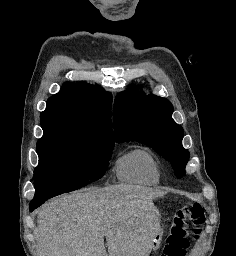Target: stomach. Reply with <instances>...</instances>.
Returning a JSON list of instances; mask_svg holds the SVG:
<instances>
[{"label":"stomach","mask_w":236,"mask_h":256,"mask_svg":"<svg viewBox=\"0 0 236 256\" xmlns=\"http://www.w3.org/2000/svg\"><path fill=\"white\" fill-rule=\"evenodd\" d=\"M160 235H161V233L158 234L157 239L159 238Z\"/></svg>","instance_id":"1"}]
</instances>
